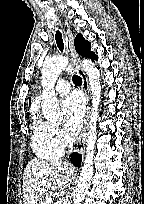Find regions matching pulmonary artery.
<instances>
[{
	"instance_id": "1",
	"label": "pulmonary artery",
	"mask_w": 144,
	"mask_h": 204,
	"mask_svg": "<svg viewBox=\"0 0 144 204\" xmlns=\"http://www.w3.org/2000/svg\"><path fill=\"white\" fill-rule=\"evenodd\" d=\"M55 91L57 94H67L70 91V85L66 80H59L56 83Z\"/></svg>"
}]
</instances>
